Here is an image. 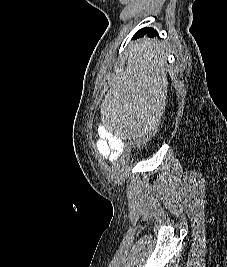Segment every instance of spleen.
Returning a JSON list of instances; mask_svg holds the SVG:
<instances>
[{
    "mask_svg": "<svg viewBox=\"0 0 227 267\" xmlns=\"http://www.w3.org/2000/svg\"><path fill=\"white\" fill-rule=\"evenodd\" d=\"M141 43L147 44L134 51L131 64L114 87L112 96L104 93L108 100H103V105L117 106H102L101 115H160L168 85L164 68L167 54L152 43V38H135V47ZM101 121L103 129H113L117 137L140 140L146 129H152L156 116H101Z\"/></svg>",
    "mask_w": 227,
    "mask_h": 267,
    "instance_id": "obj_1",
    "label": "spleen"
}]
</instances>
